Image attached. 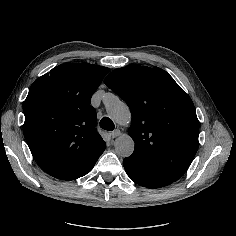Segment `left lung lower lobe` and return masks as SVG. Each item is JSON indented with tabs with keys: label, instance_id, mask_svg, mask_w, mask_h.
Masks as SVG:
<instances>
[{
	"label": "left lung lower lobe",
	"instance_id": "left-lung-lower-lobe-1",
	"mask_svg": "<svg viewBox=\"0 0 236 236\" xmlns=\"http://www.w3.org/2000/svg\"><path fill=\"white\" fill-rule=\"evenodd\" d=\"M123 165L128 176L141 186L159 188L174 182L172 179L131 157L124 158Z\"/></svg>",
	"mask_w": 236,
	"mask_h": 236
}]
</instances>
